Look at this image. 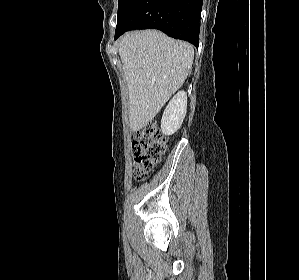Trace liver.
<instances>
[{"instance_id":"1","label":"liver","mask_w":299,"mask_h":280,"mask_svg":"<svg viewBox=\"0 0 299 280\" xmlns=\"http://www.w3.org/2000/svg\"><path fill=\"white\" fill-rule=\"evenodd\" d=\"M119 55L129 90L130 130L145 127L182 86L193 63V46L157 30L125 34Z\"/></svg>"}]
</instances>
